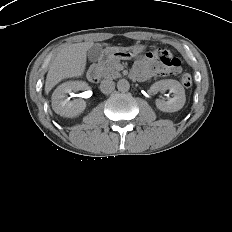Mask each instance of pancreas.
Returning <instances> with one entry per match:
<instances>
[{
	"label": "pancreas",
	"mask_w": 232,
	"mask_h": 232,
	"mask_svg": "<svg viewBox=\"0 0 232 232\" xmlns=\"http://www.w3.org/2000/svg\"><path fill=\"white\" fill-rule=\"evenodd\" d=\"M119 64H120L119 60H114L106 64L99 65V70L101 72V75L107 79H115L120 77V73L118 69Z\"/></svg>",
	"instance_id": "cf45deb5"
}]
</instances>
